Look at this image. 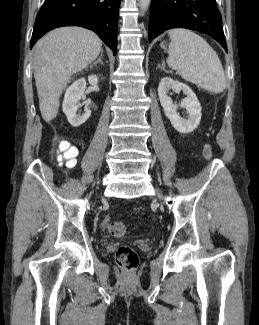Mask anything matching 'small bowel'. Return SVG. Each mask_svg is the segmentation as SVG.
<instances>
[{
    "instance_id": "small-bowel-1",
    "label": "small bowel",
    "mask_w": 259,
    "mask_h": 325,
    "mask_svg": "<svg viewBox=\"0 0 259 325\" xmlns=\"http://www.w3.org/2000/svg\"><path fill=\"white\" fill-rule=\"evenodd\" d=\"M73 149H75L76 150V152H77V148L76 147H74V146H71Z\"/></svg>"
}]
</instances>
